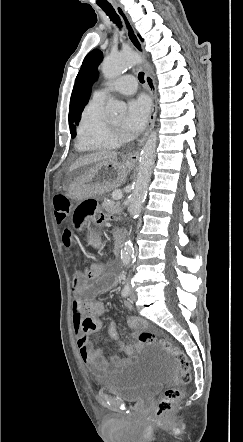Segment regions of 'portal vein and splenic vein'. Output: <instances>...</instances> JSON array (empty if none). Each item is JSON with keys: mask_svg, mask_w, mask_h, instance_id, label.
Returning <instances> with one entry per match:
<instances>
[{"mask_svg": "<svg viewBox=\"0 0 243 442\" xmlns=\"http://www.w3.org/2000/svg\"><path fill=\"white\" fill-rule=\"evenodd\" d=\"M122 197H123V194H122V192L120 190L114 191L113 194H112V198L114 200H119Z\"/></svg>", "mask_w": 243, "mask_h": 442, "instance_id": "1", "label": "portal vein and splenic vein"}]
</instances>
